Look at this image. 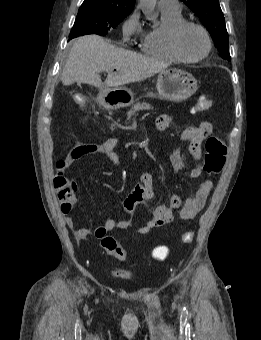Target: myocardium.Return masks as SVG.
Wrapping results in <instances>:
<instances>
[{
    "label": "myocardium",
    "mask_w": 261,
    "mask_h": 340,
    "mask_svg": "<svg viewBox=\"0 0 261 340\" xmlns=\"http://www.w3.org/2000/svg\"><path fill=\"white\" fill-rule=\"evenodd\" d=\"M187 26H194V27L200 29L201 32L203 33L205 39H206V43H207L206 50L199 57H196V58L186 57L182 54V52L179 49V46H178L179 35L182 32V30ZM169 47H170L171 51L174 53V55L180 61L186 62V63H196V62H200V61L204 60L206 57L209 56V54L211 53V50H212V40H211V37H210L208 30L201 23L194 21V20L182 19L181 21L176 23L170 29V32H169Z\"/></svg>",
    "instance_id": "f54148a6"
}]
</instances>
